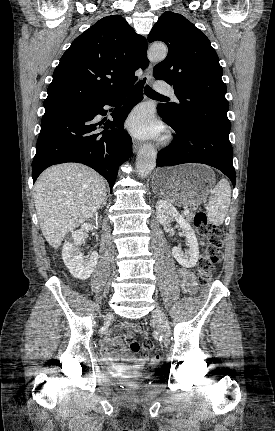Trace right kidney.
Instances as JSON below:
<instances>
[{"mask_svg": "<svg viewBox=\"0 0 275 431\" xmlns=\"http://www.w3.org/2000/svg\"><path fill=\"white\" fill-rule=\"evenodd\" d=\"M90 223H84L81 229L72 232L73 242H65L62 249V259L69 269L70 273L77 279L86 280L94 272L97 262L98 253L91 252L86 258L79 251V246L84 242V230L91 228Z\"/></svg>", "mask_w": 275, "mask_h": 431, "instance_id": "obj_1", "label": "right kidney"}]
</instances>
